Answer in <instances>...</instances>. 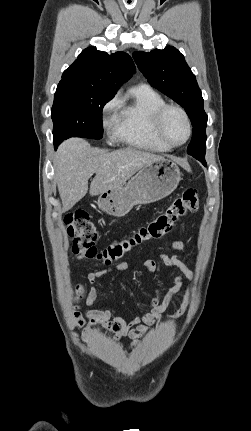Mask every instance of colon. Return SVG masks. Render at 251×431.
I'll list each match as a JSON object with an SVG mask.
<instances>
[{
  "label": "colon",
  "mask_w": 251,
  "mask_h": 431,
  "mask_svg": "<svg viewBox=\"0 0 251 431\" xmlns=\"http://www.w3.org/2000/svg\"><path fill=\"white\" fill-rule=\"evenodd\" d=\"M199 207L197 191L186 188L174 201L154 219L140 226L132 236L112 242L103 249L96 247L98 232L86 212L76 211L65 216L66 233L72 241L73 253L98 264H110L121 259L127 252L149 241L159 240L172 233L180 218L195 212ZM83 295V288L77 286L76 296Z\"/></svg>",
  "instance_id": "1"
}]
</instances>
